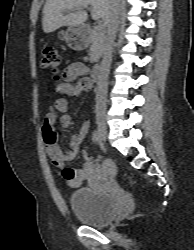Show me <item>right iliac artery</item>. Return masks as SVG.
<instances>
[{
	"label": "right iliac artery",
	"instance_id": "82829eb1",
	"mask_svg": "<svg viewBox=\"0 0 194 250\" xmlns=\"http://www.w3.org/2000/svg\"><path fill=\"white\" fill-rule=\"evenodd\" d=\"M99 133H98V131L97 130H95L94 132H93V136H92V139H93V142H97L98 140H99Z\"/></svg>",
	"mask_w": 194,
	"mask_h": 250
}]
</instances>
